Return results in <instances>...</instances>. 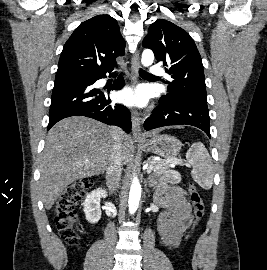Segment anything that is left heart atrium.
<instances>
[{"instance_id": "39dd6f15", "label": "left heart atrium", "mask_w": 267, "mask_h": 270, "mask_svg": "<svg viewBox=\"0 0 267 270\" xmlns=\"http://www.w3.org/2000/svg\"><path fill=\"white\" fill-rule=\"evenodd\" d=\"M119 97L123 103L132 106H142L147 100V95L141 88L126 89L120 93Z\"/></svg>"}]
</instances>
